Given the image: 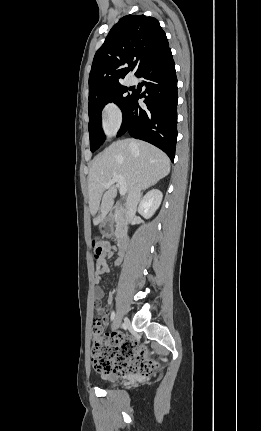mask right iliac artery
Instances as JSON below:
<instances>
[{
	"label": "right iliac artery",
	"mask_w": 261,
	"mask_h": 431,
	"mask_svg": "<svg viewBox=\"0 0 261 431\" xmlns=\"http://www.w3.org/2000/svg\"><path fill=\"white\" fill-rule=\"evenodd\" d=\"M114 319H115V312L112 311V313H111V321H113Z\"/></svg>",
	"instance_id": "82829eb1"
}]
</instances>
